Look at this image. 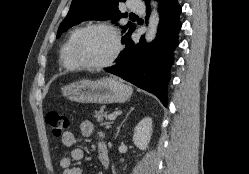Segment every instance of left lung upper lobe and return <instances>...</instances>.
Wrapping results in <instances>:
<instances>
[{
  "instance_id": "obj_1",
  "label": "left lung upper lobe",
  "mask_w": 249,
  "mask_h": 174,
  "mask_svg": "<svg viewBox=\"0 0 249 174\" xmlns=\"http://www.w3.org/2000/svg\"><path fill=\"white\" fill-rule=\"evenodd\" d=\"M125 0H73L70 10L58 28L57 38L72 26L85 20H106L112 19L117 22L121 17H127V13L121 14L118 9L119 2ZM128 33L122 38V41L129 37L135 29L134 24L128 23L123 29Z\"/></svg>"
}]
</instances>
